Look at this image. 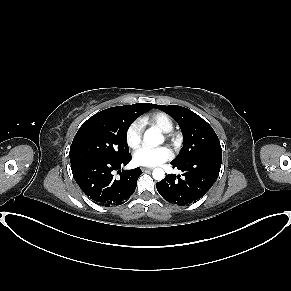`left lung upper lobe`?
Wrapping results in <instances>:
<instances>
[{
    "mask_svg": "<svg viewBox=\"0 0 291 291\" xmlns=\"http://www.w3.org/2000/svg\"><path fill=\"white\" fill-rule=\"evenodd\" d=\"M156 108L172 116L183 133V147L172 162L178 163L195 156L222 153L215 131L196 113L178 105H156Z\"/></svg>",
    "mask_w": 291,
    "mask_h": 291,
    "instance_id": "left-lung-upper-lobe-1",
    "label": "left lung upper lobe"
}]
</instances>
